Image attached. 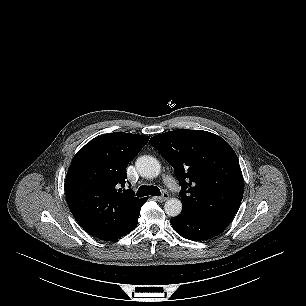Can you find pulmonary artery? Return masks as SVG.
<instances>
[{
	"label": "pulmonary artery",
	"instance_id": "pulmonary-artery-1",
	"mask_svg": "<svg viewBox=\"0 0 306 306\" xmlns=\"http://www.w3.org/2000/svg\"><path fill=\"white\" fill-rule=\"evenodd\" d=\"M170 183L173 184V183H174V180H170Z\"/></svg>",
	"mask_w": 306,
	"mask_h": 306
}]
</instances>
